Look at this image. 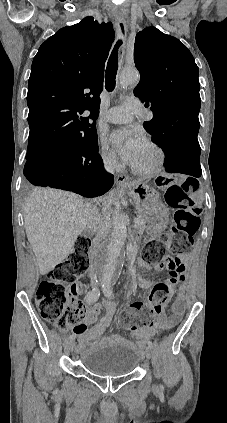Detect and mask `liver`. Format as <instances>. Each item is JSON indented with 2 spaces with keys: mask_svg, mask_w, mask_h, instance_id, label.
I'll return each instance as SVG.
<instances>
[{
  "mask_svg": "<svg viewBox=\"0 0 227 423\" xmlns=\"http://www.w3.org/2000/svg\"><path fill=\"white\" fill-rule=\"evenodd\" d=\"M23 210L27 239L39 271L45 275L69 255L78 235L87 229L86 204L81 196L71 192L35 188L25 198ZM97 221L105 229L104 221Z\"/></svg>",
  "mask_w": 227,
  "mask_h": 423,
  "instance_id": "obj_1",
  "label": "liver"
}]
</instances>
